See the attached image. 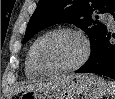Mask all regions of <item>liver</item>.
<instances>
[{
  "instance_id": "liver-1",
  "label": "liver",
  "mask_w": 115,
  "mask_h": 99,
  "mask_svg": "<svg viewBox=\"0 0 115 99\" xmlns=\"http://www.w3.org/2000/svg\"><path fill=\"white\" fill-rule=\"evenodd\" d=\"M67 76H61V77H58V78H55L53 81H50V82H37V83H34V84H29L27 86H25V90H34V89H41V88H45L47 86H51L53 84H56L58 82H60L61 80H63L64 78H66Z\"/></svg>"
}]
</instances>
